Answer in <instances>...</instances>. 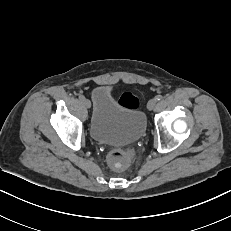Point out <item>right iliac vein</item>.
<instances>
[{
  "label": "right iliac vein",
  "instance_id": "1",
  "mask_svg": "<svg viewBox=\"0 0 231 231\" xmlns=\"http://www.w3.org/2000/svg\"><path fill=\"white\" fill-rule=\"evenodd\" d=\"M82 101H83V104H84L87 108H90V107H91V102H90V100L84 99V100H82Z\"/></svg>",
  "mask_w": 231,
  "mask_h": 231
}]
</instances>
